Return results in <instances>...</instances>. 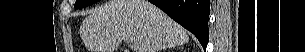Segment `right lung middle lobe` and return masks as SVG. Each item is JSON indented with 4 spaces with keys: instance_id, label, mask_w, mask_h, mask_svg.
<instances>
[{
    "instance_id": "obj_1",
    "label": "right lung middle lobe",
    "mask_w": 305,
    "mask_h": 52,
    "mask_svg": "<svg viewBox=\"0 0 305 52\" xmlns=\"http://www.w3.org/2000/svg\"><path fill=\"white\" fill-rule=\"evenodd\" d=\"M99 0H77L74 7L76 9H81L83 7H86L88 5H91L93 3H96L98 2Z\"/></svg>"
}]
</instances>
